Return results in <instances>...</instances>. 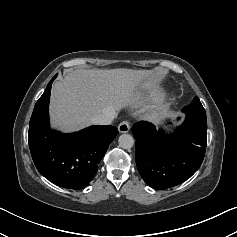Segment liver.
Returning <instances> with one entry per match:
<instances>
[{"label":"liver","mask_w":237,"mask_h":237,"mask_svg":"<svg viewBox=\"0 0 237 237\" xmlns=\"http://www.w3.org/2000/svg\"><path fill=\"white\" fill-rule=\"evenodd\" d=\"M158 80L152 70H70L52 87V127L63 132L85 128L94 117L132 104L138 90L155 88Z\"/></svg>","instance_id":"1"}]
</instances>
